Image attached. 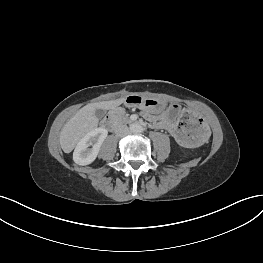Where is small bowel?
Returning a JSON list of instances; mask_svg holds the SVG:
<instances>
[{
    "label": "small bowel",
    "instance_id": "1",
    "mask_svg": "<svg viewBox=\"0 0 263 263\" xmlns=\"http://www.w3.org/2000/svg\"><path fill=\"white\" fill-rule=\"evenodd\" d=\"M143 116L147 121L151 122L155 128L167 131L178 142L176 138V133L173 132L171 129L165 127V125L161 124L159 120L160 114H155L151 111H146L143 113ZM178 143L180 144V142Z\"/></svg>",
    "mask_w": 263,
    "mask_h": 263
}]
</instances>
